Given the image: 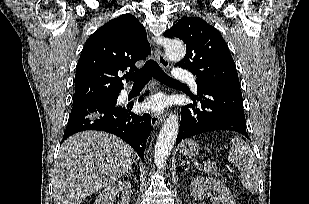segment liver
Returning <instances> with one entry per match:
<instances>
[{
  "label": "liver",
  "mask_w": 309,
  "mask_h": 204,
  "mask_svg": "<svg viewBox=\"0 0 309 204\" xmlns=\"http://www.w3.org/2000/svg\"><path fill=\"white\" fill-rule=\"evenodd\" d=\"M135 157L132 147L109 133L84 131L69 137L54 165V204H81L124 175Z\"/></svg>",
  "instance_id": "6515ba94"
}]
</instances>
